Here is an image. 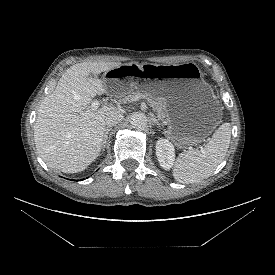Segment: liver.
I'll list each match as a JSON object with an SVG mask.
<instances>
[{"instance_id":"liver-1","label":"liver","mask_w":275,"mask_h":275,"mask_svg":"<svg viewBox=\"0 0 275 275\" xmlns=\"http://www.w3.org/2000/svg\"><path fill=\"white\" fill-rule=\"evenodd\" d=\"M120 65L103 61L75 64L43 99L34 125V141L39 156L50 168L78 173L99 156L105 117L117 109L103 106L93 110L90 104L97 94L107 92L97 75Z\"/></svg>"}]
</instances>
